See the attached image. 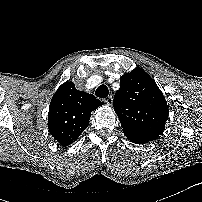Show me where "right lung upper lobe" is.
Instances as JSON below:
<instances>
[{"label": "right lung upper lobe", "mask_w": 202, "mask_h": 202, "mask_svg": "<svg viewBox=\"0 0 202 202\" xmlns=\"http://www.w3.org/2000/svg\"><path fill=\"white\" fill-rule=\"evenodd\" d=\"M103 103L93 94L78 91L73 82L63 83L49 106L48 129L62 146L75 142L88 127L91 112Z\"/></svg>", "instance_id": "right-lung-upper-lobe-1"}]
</instances>
